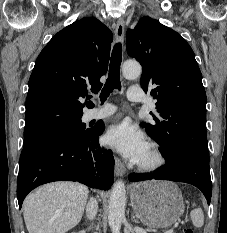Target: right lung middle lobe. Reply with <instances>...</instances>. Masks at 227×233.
<instances>
[{"label":"right lung middle lobe","instance_id":"right-lung-middle-lobe-1","mask_svg":"<svg viewBox=\"0 0 227 233\" xmlns=\"http://www.w3.org/2000/svg\"><path fill=\"white\" fill-rule=\"evenodd\" d=\"M85 127L86 125L81 122V118H78L44 132L24 135V146L52 137H76L84 135L89 132V129H85Z\"/></svg>","mask_w":227,"mask_h":233}]
</instances>
